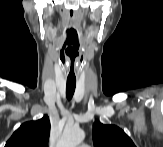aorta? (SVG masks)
<instances>
[{"mask_svg":"<svg viewBox=\"0 0 163 147\" xmlns=\"http://www.w3.org/2000/svg\"><path fill=\"white\" fill-rule=\"evenodd\" d=\"M84 131L80 128H66L57 142V147H77L84 139Z\"/></svg>","mask_w":163,"mask_h":147,"instance_id":"762f6f07","label":"aorta"}]
</instances>
